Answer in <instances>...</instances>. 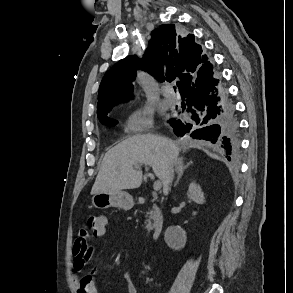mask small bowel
I'll return each mask as SVG.
<instances>
[{"mask_svg":"<svg viewBox=\"0 0 293 293\" xmlns=\"http://www.w3.org/2000/svg\"><path fill=\"white\" fill-rule=\"evenodd\" d=\"M105 235L106 228L101 234L94 236L104 237ZM92 238L93 235H91L88 231L81 229L78 232L74 245L72 267L74 271V282L77 288V293H99L92 275L86 274L80 276L95 253V248L89 245V241ZM123 280L126 284V293H139L137 287L132 281V274L130 272H125L123 274Z\"/></svg>","mask_w":293,"mask_h":293,"instance_id":"1","label":"small bowel"}]
</instances>
